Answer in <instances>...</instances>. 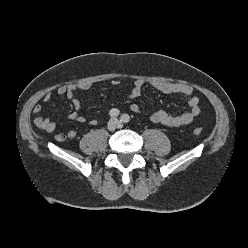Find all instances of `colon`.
Returning a JSON list of instances; mask_svg holds the SVG:
<instances>
[{"label":"colon","instance_id":"1","mask_svg":"<svg viewBox=\"0 0 248 248\" xmlns=\"http://www.w3.org/2000/svg\"><path fill=\"white\" fill-rule=\"evenodd\" d=\"M202 132H203V130H202V128H200V127H196V128L193 129V133H194V135H196V136L201 135Z\"/></svg>","mask_w":248,"mask_h":248}]
</instances>
